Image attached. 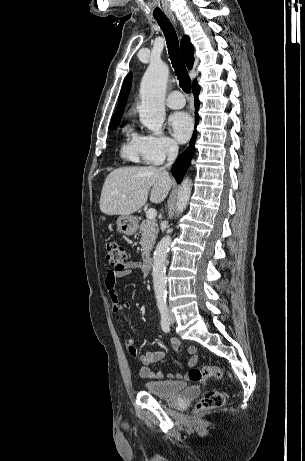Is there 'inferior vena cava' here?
<instances>
[{
    "label": "inferior vena cava",
    "instance_id": "602c4592",
    "mask_svg": "<svg viewBox=\"0 0 305 461\" xmlns=\"http://www.w3.org/2000/svg\"><path fill=\"white\" fill-rule=\"evenodd\" d=\"M178 148L179 147H178V145L176 143L168 144V146H167V155H168L167 161H168V163L165 166L161 167V169H160L164 173L168 174L165 169L167 167H170L174 163L175 159L177 158Z\"/></svg>",
    "mask_w": 305,
    "mask_h": 461
}]
</instances>
